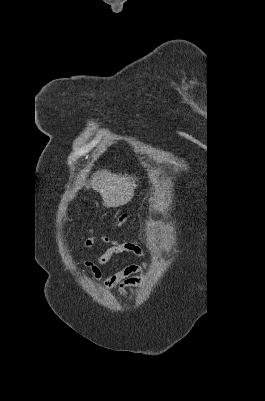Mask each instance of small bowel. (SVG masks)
I'll list each match as a JSON object with an SVG mask.
<instances>
[{"label":"small bowel","instance_id":"1","mask_svg":"<svg viewBox=\"0 0 265 401\" xmlns=\"http://www.w3.org/2000/svg\"><path fill=\"white\" fill-rule=\"evenodd\" d=\"M101 241L109 244V249L98 259L97 263L84 261V265L88 268L97 282L103 283L112 288H117L120 297H128L130 300L136 296L137 291L134 290L130 295L127 294V288L137 287L144 282V275L147 268L146 263L130 264L121 271L104 277L102 269L115 256L124 252H131L136 255L143 256L145 253L139 243L135 240H124L117 242L108 237H93L86 241L85 246L90 247L94 243Z\"/></svg>","mask_w":265,"mask_h":401}]
</instances>
